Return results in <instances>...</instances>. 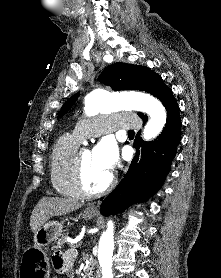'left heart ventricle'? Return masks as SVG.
I'll return each instance as SVG.
<instances>
[{
    "label": "left heart ventricle",
    "mask_w": 221,
    "mask_h": 278,
    "mask_svg": "<svg viewBox=\"0 0 221 278\" xmlns=\"http://www.w3.org/2000/svg\"><path fill=\"white\" fill-rule=\"evenodd\" d=\"M110 173L94 160L91 151L84 149L83 180L89 190L94 191L102 188L107 183Z\"/></svg>",
    "instance_id": "b2bd125f"
}]
</instances>
